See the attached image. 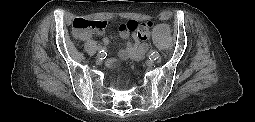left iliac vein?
I'll return each instance as SVG.
<instances>
[{"instance_id": "obj_1", "label": "left iliac vein", "mask_w": 255, "mask_h": 122, "mask_svg": "<svg viewBox=\"0 0 255 122\" xmlns=\"http://www.w3.org/2000/svg\"><path fill=\"white\" fill-rule=\"evenodd\" d=\"M146 64L149 66V67H152L154 64H155V61L153 59H149L146 61Z\"/></svg>"}]
</instances>
